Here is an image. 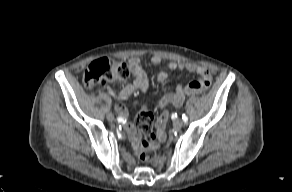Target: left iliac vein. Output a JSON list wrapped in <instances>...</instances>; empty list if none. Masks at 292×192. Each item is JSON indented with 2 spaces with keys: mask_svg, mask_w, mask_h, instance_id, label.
<instances>
[{
  "mask_svg": "<svg viewBox=\"0 0 292 192\" xmlns=\"http://www.w3.org/2000/svg\"><path fill=\"white\" fill-rule=\"evenodd\" d=\"M184 122L181 119H176L173 123L174 127L179 129L183 126Z\"/></svg>",
  "mask_w": 292,
  "mask_h": 192,
  "instance_id": "obj_1",
  "label": "left iliac vein"
}]
</instances>
